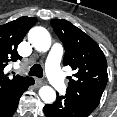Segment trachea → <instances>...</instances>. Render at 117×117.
Here are the masks:
<instances>
[{
  "mask_svg": "<svg viewBox=\"0 0 117 117\" xmlns=\"http://www.w3.org/2000/svg\"><path fill=\"white\" fill-rule=\"evenodd\" d=\"M30 76H37L38 78L43 77V70L40 64H34L30 71H29Z\"/></svg>",
  "mask_w": 117,
  "mask_h": 117,
  "instance_id": "3493384b",
  "label": "trachea"
}]
</instances>
